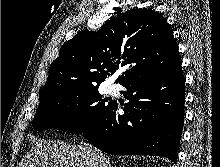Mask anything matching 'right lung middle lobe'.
Returning a JSON list of instances; mask_svg holds the SVG:
<instances>
[{
	"label": "right lung middle lobe",
	"instance_id": "obj_1",
	"mask_svg": "<svg viewBox=\"0 0 220 167\" xmlns=\"http://www.w3.org/2000/svg\"><path fill=\"white\" fill-rule=\"evenodd\" d=\"M105 102L98 86L65 90L40 102L32 126L35 130L59 128L82 133L110 106L111 102Z\"/></svg>",
	"mask_w": 220,
	"mask_h": 167
}]
</instances>
